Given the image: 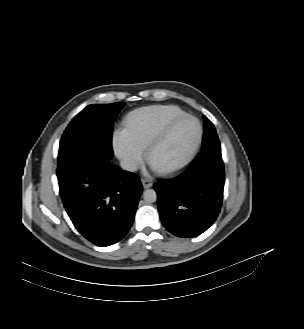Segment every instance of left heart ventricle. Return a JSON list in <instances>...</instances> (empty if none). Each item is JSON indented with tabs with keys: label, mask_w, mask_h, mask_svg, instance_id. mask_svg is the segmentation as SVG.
Segmentation results:
<instances>
[{
	"label": "left heart ventricle",
	"mask_w": 304,
	"mask_h": 329,
	"mask_svg": "<svg viewBox=\"0 0 304 329\" xmlns=\"http://www.w3.org/2000/svg\"><path fill=\"white\" fill-rule=\"evenodd\" d=\"M198 136V125L193 119L181 121L172 130L168 139L151 155L154 166H165L182 160L192 149Z\"/></svg>",
	"instance_id": "b2bd125f"
}]
</instances>
